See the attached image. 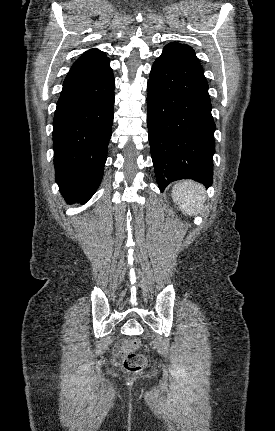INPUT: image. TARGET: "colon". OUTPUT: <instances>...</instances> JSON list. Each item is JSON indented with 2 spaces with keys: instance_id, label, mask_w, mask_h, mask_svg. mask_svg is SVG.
<instances>
[{
  "instance_id": "obj_1",
  "label": "colon",
  "mask_w": 275,
  "mask_h": 431,
  "mask_svg": "<svg viewBox=\"0 0 275 431\" xmlns=\"http://www.w3.org/2000/svg\"><path fill=\"white\" fill-rule=\"evenodd\" d=\"M140 344V340L134 338L127 340L123 345L126 354L124 367L130 372H139L147 364L146 357L136 351V348H138Z\"/></svg>"
}]
</instances>
